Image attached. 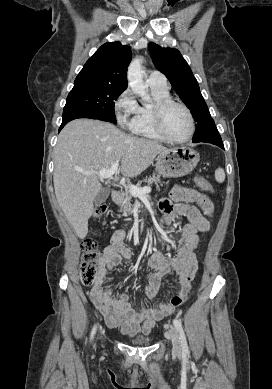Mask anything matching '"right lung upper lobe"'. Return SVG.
Masks as SVG:
<instances>
[{
    "label": "right lung upper lobe",
    "instance_id": "obj_1",
    "mask_svg": "<svg viewBox=\"0 0 272 389\" xmlns=\"http://www.w3.org/2000/svg\"><path fill=\"white\" fill-rule=\"evenodd\" d=\"M132 53L120 42L103 44L88 59L75 79L74 84H96L126 89L127 67Z\"/></svg>",
    "mask_w": 272,
    "mask_h": 389
}]
</instances>
